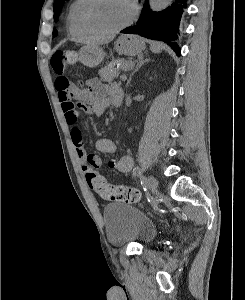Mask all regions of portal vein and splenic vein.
Segmentation results:
<instances>
[{"instance_id": "obj_1", "label": "portal vein and splenic vein", "mask_w": 245, "mask_h": 300, "mask_svg": "<svg viewBox=\"0 0 245 300\" xmlns=\"http://www.w3.org/2000/svg\"><path fill=\"white\" fill-rule=\"evenodd\" d=\"M134 63L133 62H130L128 65H126V67L123 69V70H127L129 69L131 66H133Z\"/></svg>"}]
</instances>
